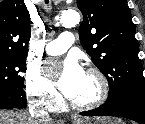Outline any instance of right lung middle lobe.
Returning a JSON list of instances; mask_svg holds the SVG:
<instances>
[{
  "mask_svg": "<svg viewBox=\"0 0 145 124\" xmlns=\"http://www.w3.org/2000/svg\"><path fill=\"white\" fill-rule=\"evenodd\" d=\"M26 57L0 54V88H23Z\"/></svg>",
  "mask_w": 145,
  "mask_h": 124,
  "instance_id": "obj_1",
  "label": "right lung middle lobe"
}]
</instances>
